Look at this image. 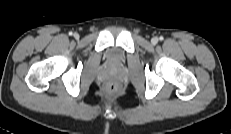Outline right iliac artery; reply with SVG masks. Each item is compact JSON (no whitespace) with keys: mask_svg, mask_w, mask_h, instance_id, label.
I'll use <instances>...</instances> for the list:
<instances>
[{"mask_svg":"<svg viewBox=\"0 0 231 134\" xmlns=\"http://www.w3.org/2000/svg\"><path fill=\"white\" fill-rule=\"evenodd\" d=\"M69 35H70V36H72V35H73V33H72V32H69Z\"/></svg>","mask_w":231,"mask_h":134,"instance_id":"right-iliac-artery-1","label":"right iliac artery"}]
</instances>
